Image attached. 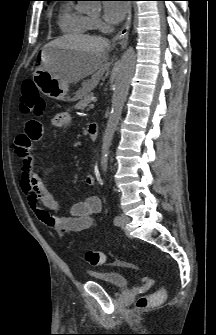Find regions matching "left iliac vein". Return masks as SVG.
Here are the masks:
<instances>
[{"label": "left iliac vein", "instance_id": "left-iliac-vein-1", "mask_svg": "<svg viewBox=\"0 0 216 335\" xmlns=\"http://www.w3.org/2000/svg\"><path fill=\"white\" fill-rule=\"evenodd\" d=\"M128 222H129V217H127L124 214H121L120 215V221L117 225L124 228L128 224Z\"/></svg>", "mask_w": 216, "mask_h": 335}]
</instances>
